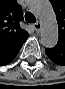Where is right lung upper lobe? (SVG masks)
<instances>
[{"label":"right lung upper lobe","instance_id":"right-lung-upper-lobe-1","mask_svg":"<svg viewBox=\"0 0 65 89\" xmlns=\"http://www.w3.org/2000/svg\"><path fill=\"white\" fill-rule=\"evenodd\" d=\"M22 8L16 0H0V52L10 53L19 48L29 33L19 26Z\"/></svg>","mask_w":65,"mask_h":89}]
</instances>
